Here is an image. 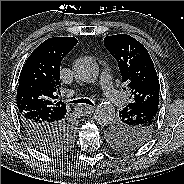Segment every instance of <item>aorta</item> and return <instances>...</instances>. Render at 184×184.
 Here are the masks:
<instances>
[{
	"label": "aorta",
	"instance_id": "obj_1",
	"mask_svg": "<svg viewBox=\"0 0 184 184\" xmlns=\"http://www.w3.org/2000/svg\"><path fill=\"white\" fill-rule=\"evenodd\" d=\"M75 77L86 83H94L99 76V67L90 57H82L73 65ZM115 117V108L109 102L100 103L94 113L96 122L100 125L110 124Z\"/></svg>",
	"mask_w": 184,
	"mask_h": 184
}]
</instances>
